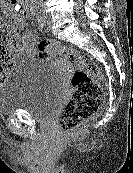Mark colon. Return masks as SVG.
<instances>
[{"mask_svg":"<svg viewBox=\"0 0 133 173\" xmlns=\"http://www.w3.org/2000/svg\"><path fill=\"white\" fill-rule=\"evenodd\" d=\"M5 24L8 33L17 31V24L13 18H7ZM38 48L40 58L51 59L56 54H61L74 68L71 77L73 93L65 104L59 119L61 129L66 133H71L92 118L102 106L101 81L103 75L88 55L50 40L42 41ZM11 62L10 52L0 44V81L7 75Z\"/></svg>","mask_w":133,"mask_h":173,"instance_id":"colon-1","label":"colon"}]
</instances>
